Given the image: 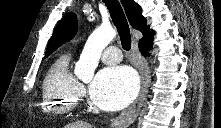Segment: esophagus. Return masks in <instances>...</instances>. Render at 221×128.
<instances>
[{"label":"esophagus","mask_w":221,"mask_h":128,"mask_svg":"<svg viewBox=\"0 0 221 128\" xmlns=\"http://www.w3.org/2000/svg\"><path fill=\"white\" fill-rule=\"evenodd\" d=\"M132 53L141 75V88L136 100L111 121V126L116 128H126L135 121L146 100L148 92L150 82L149 72L146 62L139 52L137 39L134 36L132 39Z\"/></svg>","instance_id":"1"}]
</instances>
